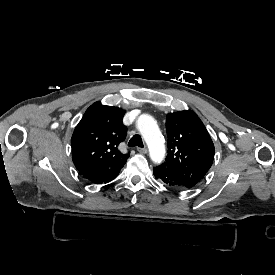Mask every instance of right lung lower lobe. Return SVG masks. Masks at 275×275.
<instances>
[{"mask_svg":"<svg viewBox=\"0 0 275 275\" xmlns=\"http://www.w3.org/2000/svg\"><path fill=\"white\" fill-rule=\"evenodd\" d=\"M119 172L120 170L118 169H102V170L83 174V176L86 179L96 184H101V183H108L112 181L114 178L117 177Z\"/></svg>","mask_w":275,"mask_h":275,"instance_id":"1","label":"right lung lower lobe"}]
</instances>
